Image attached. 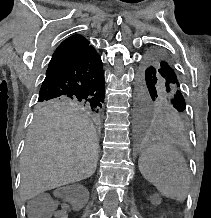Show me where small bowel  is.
<instances>
[{
  "instance_id": "1",
  "label": "small bowel",
  "mask_w": 211,
  "mask_h": 218,
  "mask_svg": "<svg viewBox=\"0 0 211 218\" xmlns=\"http://www.w3.org/2000/svg\"><path fill=\"white\" fill-rule=\"evenodd\" d=\"M55 217L56 218H67V214H66L65 210H58L55 213Z\"/></svg>"
}]
</instances>
